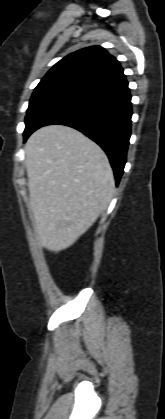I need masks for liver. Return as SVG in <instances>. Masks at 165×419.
I'll return each instance as SVG.
<instances>
[{"mask_svg":"<svg viewBox=\"0 0 165 419\" xmlns=\"http://www.w3.org/2000/svg\"><path fill=\"white\" fill-rule=\"evenodd\" d=\"M25 156L36 238L41 247L59 252L107 208L115 187L112 168L96 143L63 125L35 131Z\"/></svg>","mask_w":165,"mask_h":419,"instance_id":"liver-1","label":"liver"}]
</instances>
